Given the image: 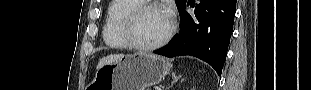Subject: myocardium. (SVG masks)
<instances>
[{
  "label": "myocardium",
  "instance_id": "f54148a6",
  "mask_svg": "<svg viewBox=\"0 0 311 90\" xmlns=\"http://www.w3.org/2000/svg\"><path fill=\"white\" fill-rule=\"evenodd\" d=\"M155 9L165 10L164 7L156 3H143L133 8L126 15L122 25V34L129 47L137 51H152L165 45L173 36L176 29V22L174 17L168 14L170 19V26L166 34L160 40L152 44H142L138 41L135 30L140 16L147 10Z\"/></svg>",
  "mask_w": 311,
  "mask_h": 90
}]
</instances>
